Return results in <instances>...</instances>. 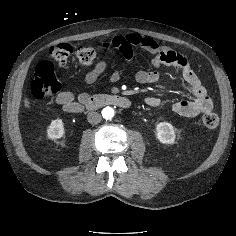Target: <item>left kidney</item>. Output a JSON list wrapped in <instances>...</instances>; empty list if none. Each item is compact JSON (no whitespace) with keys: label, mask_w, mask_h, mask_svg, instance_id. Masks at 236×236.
I'll list each match as a JSON object with an SVG mask.
<instances>
[{"label":"left kidney","mask_w":236,"mask_h":236,"mask_svg":"<svg viewBox=\"0 0 236 236\" xmlns=\"http://www.w3.org/2000/svg\"><path fill=\"white\" fill-rule=\"evenodd\" d=\"M156 137L163 144H174L176 138L174 127L168 122H160L156 126Z\"/></svg>","instance_id":"1"}]
</instances>
